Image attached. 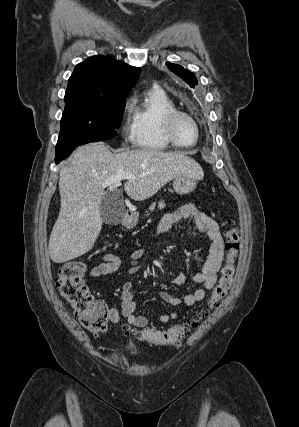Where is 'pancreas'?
<instances>
[{
    "instance_id": "cf45deb5",
    "label": "pancreas",
    "mask_w": 299,
    "mask_h": 427,
    "mask_svg": "<svg viewBox=\"0 0 299 427\" xmlns=\"http://www.w3.org/2000/svg\"><path fill=\"white\" fill-rule=\"evenodd\" d=\"M155 207H156V202H154V203H152L151 204V206L149 207V210L150 211H153L154 209H155ZM158 208L159 209H163V208H165V203H164V201H160L159 203H158ZM148 215V214H147Z\"/></svg>"
}]
</instances>
